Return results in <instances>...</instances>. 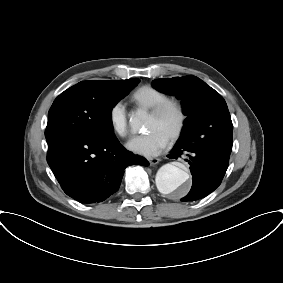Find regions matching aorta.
I'll return each instance as SVG.
<instances>
[{
  "mask_svg": "<svg viewBox=\"0 0 283 283\" xmlns=\"http://www.w3.org/2000/svg\"><path fill=\"white\" fill-rule=\"evenodd\" d=\"M143 114L131 115L129 123L132 128L139 129ZM189 179L188 170L175 164L163 165L156 174V186L160 193L165 195L181 196L187 188Z\"/></svg>",
  "mask_w": 283,
  "mask_h": 283,
  "instance_id": "obj_1",
  "label": "aorta"
}]
</instances>
